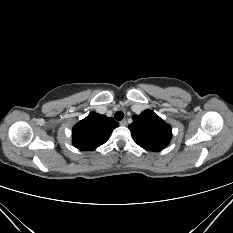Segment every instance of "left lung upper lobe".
<instances>
[{"mask_svg": "<svg viewBox=\"0 0 233 233\" xmlns=\"http://www.w3.org/2000/svg\"><path fill=\"white\" fill-rule=\"evenodd\" d=\"M129 129L134 141L149 151H161L172 138L171 126L151 110L134 115Z\"/></svg>", "mask_w": 233, "mask_h": 233, "instance_id": "left-lung-upper-lobe-1", "label": "left lung upper lobe"}]
</instances>
